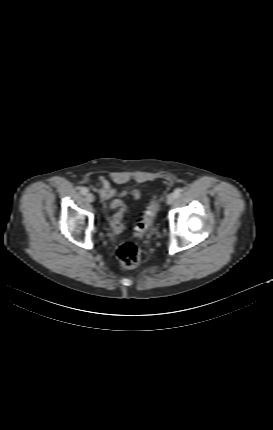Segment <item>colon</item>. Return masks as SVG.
I'll use <instances>...</instances> for the list:
<instances>
[{
	"label": "colon",
	"mask_w": 273,
	"mask_h": 430,
	"mask_svg": "<svg viewBox=\"0 0 273 430\" xmlns=\"http://www.w3.org/2000/svg\"><path fill=\"white\" fill-rule=\"evenodd\" d=\"M110 207L116 209L115 214L112 216L111 223L116 233L123 231V217L126 211V205L121 200H114L111 202ZM159 207V200L154 197L147 209L141 213L136 223L137 237H143L152 227L153 221L156 217ZM118 258L121 264L129 269L136 268L140 263V253L138 247L132 242L122 243L117 251Z\"/></svg>",
	"instance_id": "1"
}]
</instances>
